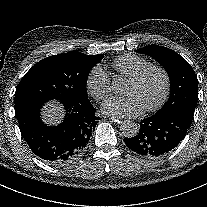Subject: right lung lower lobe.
<instances>
[{
	"instance_id": "1",
	"label": "right lung lower lobe",
	"mask_w": 207,
	"mask_h": 207,
	"mask_svg": "<svg viewBox=\"0 0 207 207\" xmlns=\"http://www.w3.org/2000/svg\"><path fill=\"white\" fill-rule=\"evenodd\" d=\"M64 105L67 113L57 126H47L41 121L42 106L16 113L21 134L31 150L47 163L58 166L83 153L98 123L90 101Z\"/></svg>"
}]
</instances>
